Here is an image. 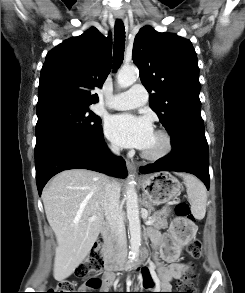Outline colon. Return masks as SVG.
<instances>
[{
  "mask_svg": "<svg viewBox=\"0 0 245 293\" xmlns=\"http://www.w3.org/2000/svg\"><path fill=\"white\" fill-rule=\"evenodd\" d=\"M176 215L184 220L174 222L171 228L173 237H181L188 232V222L192 221V215L189 206L182 202L175 206ZM103 241H97L94 251L90 256L83 261L75 271V275L83 280H86V289H93L100 286V281L95 277V274L100 271L103 266V259L101 254V247ZM203 248L200 240H193L188 246V254L192 259H200L202 257ZM195 274L189 270L185 277L177 284V291L172 293H194L192 280ZM78 288L70 281H60L56 285L50 287L45 293H91V292H75Z\"/></svg>",
  "mask_w": 245,
  "mask_h": 293,
  "instance_id": "1",
  "label": "colon"
}]
</instances>
